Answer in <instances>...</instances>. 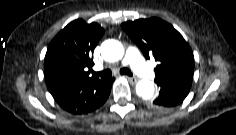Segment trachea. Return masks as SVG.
I'll use <instances>...</instances> for the list:
<instances>
[{
	"label": "trachea",
	"instance_id": "3493384b",
	"mask_svg": "<svg viewBox=\"0 0 236 135\" xmlns=\"http://www.w3.org/2000/svg\"><path fill=\"white\" fill-rule=\"evenodd\" d=\"M120 74H122V75H128V76H132L133 74H132V72L128 69V68H122L121 70H120ZM92 75L93 76H99V77H101L102 79H106V78H109V77H111V75H112V72H111V70H109V69H106V70H103V71H101V72H92Z\"/></svg>",
	"mask_w": 236,
	"mask_h": 135
}]
</instances>
